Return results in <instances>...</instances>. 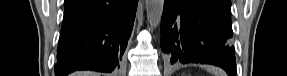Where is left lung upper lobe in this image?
I'll return each mask as SVG.
<instances>
[{
  "mask_svg": "<svg viewBox=\"0 0 287 76\" xmlns=\"http://www.w3.org/2000/svg\"><path fill=\"white\" fill-rule=\"evenodd\" d=\"M215 8L230 16L231 1L230 0H208Z\"/></svg>",
  "mask_w": 287,
  "mask_h": 76,
  "instance_id": "1",
  "label": "left lung upper lobe"
}]
</instances>
